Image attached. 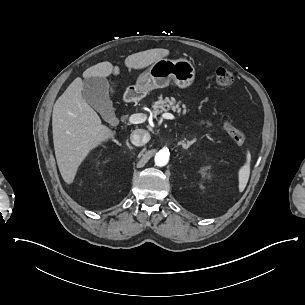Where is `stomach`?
Segmentation results:
<instances>
[{"instance_id": "0dacf381", "label": "stomach", "mask_w": 305, "mask_h": 305, "mask_svg": "<svg viewBox=\"0 0 305 305\" xmlns=\"http://www.w3.org/2000/svg\"><path fill=\"white\" fill-rule=\"evenodd\" d=\"M194 78L195 68L189 60L162 57L138 77L136 85L127 88L128 98H140L153 89L167 87L171 80L179 88H186L193 83Z\"/></svg>"}]
</instances>
